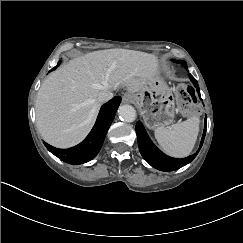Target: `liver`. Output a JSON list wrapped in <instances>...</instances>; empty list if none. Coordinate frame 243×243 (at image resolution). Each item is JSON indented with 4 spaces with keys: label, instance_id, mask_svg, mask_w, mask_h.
<instances>
[{
    "label": "liver",
    "instance_id": "1",
    "mask_svg": "<svg viewBox=\"0 0 243 243\" xmlns=\"http://www.w3.org/2000/svg\"><path fill=\"white\" fill-rule=\"evenodd\" d=\"M157 57L127 49L99 50L70 60L42 83L35 103L43 139L57 148L80 143L93 127L102 90H144L157 76Z\"/></svg>",
    "mask_w": 243,
    "mask_h": 243
}]
</instances>
